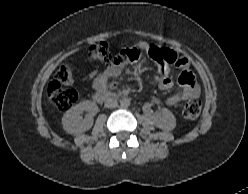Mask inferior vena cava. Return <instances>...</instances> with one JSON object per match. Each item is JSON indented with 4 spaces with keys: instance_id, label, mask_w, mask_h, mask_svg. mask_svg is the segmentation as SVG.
Masks as SVG:
<instances>
[{
    "instance_id": "obj_1",
    "label": "inferior vena cava",
    "mask_w": 248,
    "mask_h": 194,
    "mask_svg": "<svg viewBox=\"0 0 248 194\" xmlns=\"http://www.w3.org/2000/svg\"><path fill=\"white\" fill-rule=\"evenodd\" d=\"M118 106V102L117 100L113 99V98H108L105 100V107L107 108H115Z\"/></svg>"
}]
</instances>
